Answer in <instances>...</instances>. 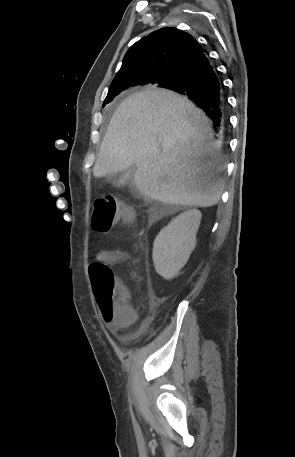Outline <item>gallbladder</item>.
<instances>
[{
	"label": "gallbladder",
	"instance_id": "gallbladder-1",
	"mask_svg": "<svg viewBox=\"0 0 295 457\" xmlns=\"http://www.w3.org/2000/svg\"><path fill=\"white\" fill-rule=\"evenodd\" d=\"M135 171L136 167L132 166L126 173L112 174L109 176V179L116 186H123L125 184L132 185Z\"/></svg>",
	"mask_w": 295,
	"mask_h": 457
}]
</instances>
